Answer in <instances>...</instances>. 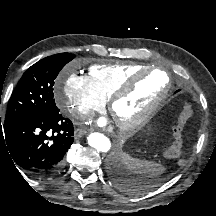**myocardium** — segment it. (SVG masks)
<instances>
[{"mask_svg":"<svg viewBox=\"0 0 216 216\" xmlns=\"http://www.w3.org/2000/svg\"><path fill=\"white\" fill-rule=\"evenodd\" d=\"M155 72H160V70L155 67L144 68L136 72L135 74H133L122 85H120L111 94L110 98L108 99L109 100L108 109L110 113L114 116L116 105L119 102L126 100L128 97H130L135 92L138 85ZM160 73H163L167 77V80H168L167 85L164 88V90L136 118L130 119V120H121V119L115 118L117 122V126L119 127L121 131L132 132V131L139 129L154 115V113L159 109V107L163 104V102L169 96L170 91L172 89V84H173L172 79L168 73L166 72L165 73L160 72Z\"/></svg>","mask_w":216,"mask_h":216,"instance_id":"obj_1","label":"myocardium"}]
</instances>
